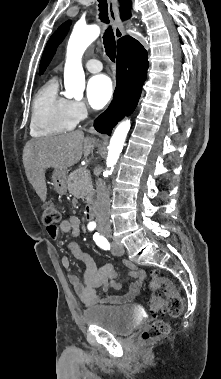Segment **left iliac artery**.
<instances>
[{"instance_id": "left-iliac-artery-1", "label": "left iliac artery", "mask_w": 221, "mask_h": 379, "mask_svg": "<svg viewBox=\"0 0 221 379\" xmlns=\"http://www.w3.org/2000/svg\"><path fill=\"white\" fill-rule=\"evenodd\" d=\"M93 239L100 248L104 250L110 249L108 240L104 236L99 235V233H95Z\"/></svg>"}]
</instances>
